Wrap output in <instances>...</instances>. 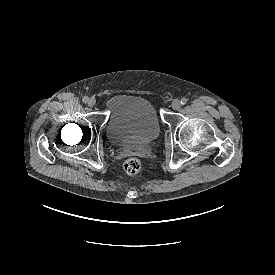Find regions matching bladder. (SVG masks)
<instances>
[{"instance_id":"obj_1","label":"bladder","mask_w":275,"mask_h":275,"mask_svg":"<svg viewBox=\"0 0 275 275\" xmlns=\"http://www.w3.org/2000/svg\"><path fill=\"white\" fill-rule=\"evenodd\" d=\"M109 117L108 139L120 146L137 145L155 139L160 124L154 106L146 99L118 94L105 99Z\"/></svg>"}]
</instances>
